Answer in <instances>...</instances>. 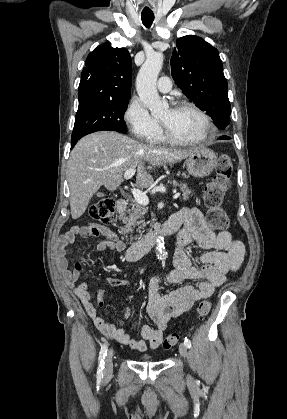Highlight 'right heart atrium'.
<instances>
[{
  "label": "right heart atrium",
  "mask_w": 287,
  "mask_h": 419,
  "mask_svg": "<svg viewBox=\"0 0 287 419\" xmlns=\"http://www.w3.org/2000/svg\"><path fill=\"white\" fill-rule=\"evenodd\" d=\"M124 121L131 134L141 140L151 142L161 132L158 121L138 98L131 99L124 112Z\"/></svg>",
  "instance_id": "obj_1"
}]
</instances>
